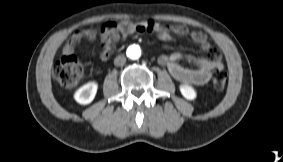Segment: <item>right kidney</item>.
<instances>
[{
    "mask_svg": "<svg viewBox=\"0 0 283 162\" xmlns=\"http://www.w3.org/2000/svg\"><path fill=\"white\" fill-rule=\"evenodd\" d=\"M98 89L96 82H88L80 87L74 94L76 102L82 105L89 104L93 101Z\"/></svg>",
    "mask_w": 283,
    "mask_h": 162,
    "instance_id": "1",
    "label": "right kidney"
}]
</instances>
